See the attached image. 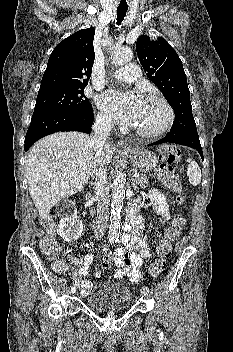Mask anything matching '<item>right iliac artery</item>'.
<instances>
[{"instance_id":"obj_1","label":"right iliac artery","mask_w":233,"mask_h":352,"mask_svg":"<svg viewBox=\"0 0 233 352\" xmlns=\"http://www.w3.org/2000/svg\"><path fill=\"white\" fill-rule=\"evenodd\" d=\"M71 291L72 292H75L76 291V288L73 286V287H71Z\"/></svg>"}]
</instances>
